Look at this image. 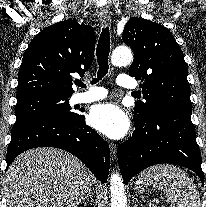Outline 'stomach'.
I'll list each match as a JSON object with an SVG mask.
<instances>
[{
  "instance_id": "1",
  "label": "stomach",
  "mask_w": 206,
  "mask_h": 207,
  "mask_svg": "<svg viewBox=\"0 0 206 207\" xmlns=\"http://www.w3.org/2000/svg\"><path fill=\"white\" fill-rule=\"evenodd\" d=\"M148 187L149 185L147 182L140 177H138L137 181L134 183V189L139 192H144Z\"/></svg>"
}]
</instances>
